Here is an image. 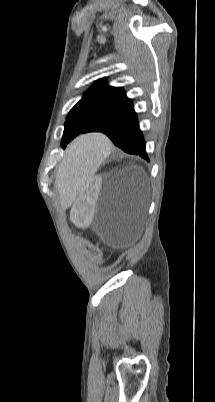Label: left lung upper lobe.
I'll return each mask as SVG.
<instances>
[{
	"mask_svg": "<svg viewBox=\"0 0 215 402\" xmlns=\"http://www.w3.org/2000/svg\"><path fill=\"white\" fill-rule=\"evenodd\" d=\"M130 104L122 89L108 86L103 80L96 82L67 115L62 147L81 133L95 131Z\"/></svg>",
	"mask_w": 215,
	"mask_h": 402,
	"instance_id": "1",
	"label": "left lung upper lobe"
}]
</instances>
